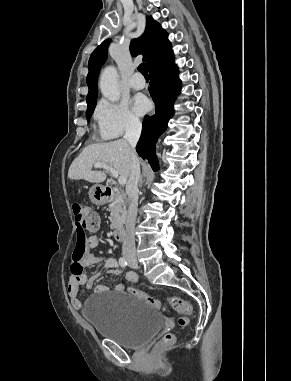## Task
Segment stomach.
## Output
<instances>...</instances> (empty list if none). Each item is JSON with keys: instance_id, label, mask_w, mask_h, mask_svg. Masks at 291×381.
<instances>
[{"instance_id": "stomach-1", "label": "stomach", "mask_w": 291, "mask_h": 381, "mask_svg": "<svg viewBox=\"0 0 291 381\" xmlns=\"http://www.w3.org/2000/svg\"><path fill=\"white\" fill-rule=\"evenodd\" d=\"M89 197L92 203L96 205H102L106 203V197L104 195V190L99 185H94L89 190Z\"/></svg>"}]
</instances>
